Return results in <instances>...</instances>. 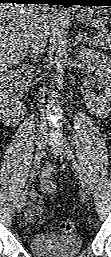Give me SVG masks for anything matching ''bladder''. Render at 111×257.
<instances>
[{"label":"bladder","instance_id":"bladder-1","mask_svg":"<svg viewBox=\"0 0 111 257\" xmlns=\"http://www.w3.org/2000/svg\"><path fill=\"white\" fill-rule=\"evenodd\" d=\"M82 244V238L76 234L36 233L29 241L31 251L39 257H74Z\"/></svg>","mask_w":111,"mask_h":257}]
</instances>
